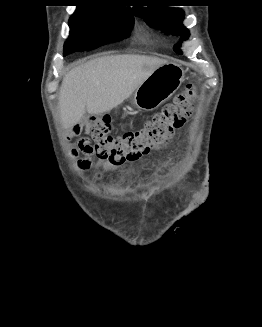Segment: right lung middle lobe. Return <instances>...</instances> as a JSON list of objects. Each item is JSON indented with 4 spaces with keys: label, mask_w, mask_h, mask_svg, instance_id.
I'll return each instance as SVG.
<instances>
[{
    "label": "right lung middle lobe",
    "mask_w": 262,
    "mask_h": 327,
    "mask_svg": "<svg viewBox=\"0 0 262 327\" xmlns=\"http://www.w3.org/2000/svg\"><path fill=\"white\" fill-rule=\"evenodd\" d=\"M133 22V15L129 13L77 8L69 19L70 36L63 54L91 50L127 38Z\"/></svg>",
    "instance_id": "dd1d6c3e"
}]
</instances>
